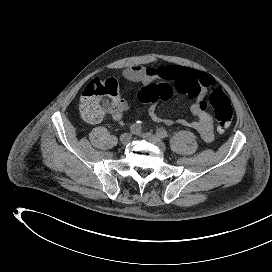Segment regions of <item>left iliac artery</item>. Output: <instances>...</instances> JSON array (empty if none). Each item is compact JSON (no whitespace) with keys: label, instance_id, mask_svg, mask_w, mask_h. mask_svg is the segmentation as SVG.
<instances>
[{"label":"left iliac artery","instance_id":"44dca946","mask_svg":"<svg viewBox=\"0 0 272 272\" xmlns=\"http://www.w3.org/2000/svg\"><path fill=\"white\" fill-rule=\"evenodd\" d=\"M156 135H157L158 137H160V138H166V137L168 136V133H167V131H166L165 129L159 128V129H157V131H156Z\"/></svg>","mask_w":272,"mask_h":272}]
</instances>
